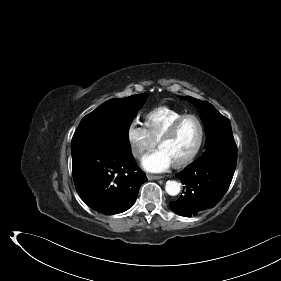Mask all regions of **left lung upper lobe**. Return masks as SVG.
I'll use <instances>...</instances> for the list:
<instances>
[{
    "instance_id": "left-lung-upper-lobe-1",
    "label": "left lung upper lobe",
    "mask_w": 281,
    "mask_h": 281,
    "mask_svg": "<svg viewBox=\"0 0 281 281\" xmlns=\"http://www.w3.org/2000/svg\"><path fill=\"white\" fill-rule=\"evenodd\" d=\"M184 98L200 107L207 135L204 153L237 152L229 119L221 115L213 105L207 102L189 96Z\"/></svg>"
}]
</instances>
